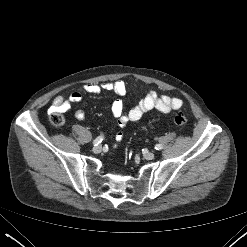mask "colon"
Listing matches in <instances>:
<instances>
[{
  "mask_svg": "<svg viewBox=\"0 0 247 247\" xmlns=\"http://www.w3.org/2000/svg\"><path fill=\"white\" fill-rule=\"evenodd\" d=\"M50 121L54 126L60 127L65 123V117L61 111H53L50 114ZM173 122L177 126H184L187 123V119L182 113H176L173 117ZM116 138L118 139L117 142H120L123 136L121 134H117L115 139Z\"/></svg>",
  "mask_w": 247,
  "mask_h": 247,
  "instance_id": "obj_1",
  "label": "colon"
}]
</instances>
